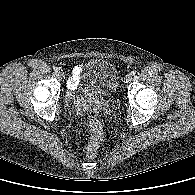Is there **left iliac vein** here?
I'll list each match as a JSON object with an SVG mask.
<instances>
[{
    "mask_svg": "<svg viewBox=\"0 0 195 195\" xmlns=\"http://www.w3.org/2000/svg\"><path fill=\"white\" fill-rule=\"evenodd\" d=\"M132 80V75L128 74L125 76V83H129Z\"/></svg>",
    "mask_w": 195,
    "mask_h": 195,
    "instance_id": "left-iliac-vein-1",
    "label": "left iliac vein"
}]
</instances>
